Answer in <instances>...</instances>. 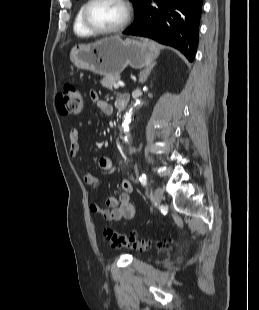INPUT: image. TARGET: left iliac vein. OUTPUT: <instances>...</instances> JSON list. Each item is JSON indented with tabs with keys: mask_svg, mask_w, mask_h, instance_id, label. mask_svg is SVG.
<instances>
[{
	"mask_svg": "<svg viewBox=\"0 0 259 310\" xmlns=\"http://www.w3.org/2000/svg\"><path fill=\"white\" fill-rule=\"evenodd\" d=\"M163 198V190L161 187H156L155 191H154V200L156 205H159L162 201Z\"/></svg>",
	"mask_w": 259,
	"mask_h": 310,
	"instance_id": "1",
	"label": "left iliac vein"
}]
</instances>
